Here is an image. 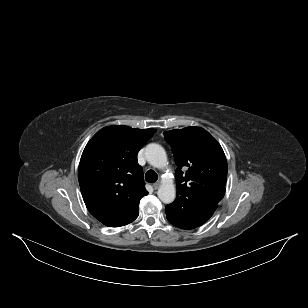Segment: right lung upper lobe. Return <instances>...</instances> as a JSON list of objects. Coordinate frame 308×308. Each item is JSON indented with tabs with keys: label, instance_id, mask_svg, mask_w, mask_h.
<instances>
[{
	"label": "right lung upper lobe",
	"instance_id": "obj_1",
	"mask_svg": "<svg viewBox=\"0 0 308 308\" xmlns=\"http://www.w3.org/2000/svg\"><path fill=\"white\" fill-rule=\"evenodd\" d=\"M155 132L109 126L87 143L79 163L80 189L87 209L104 225L119 227L137 218L140 199L148 194L137 154Z\"/></svg>",
	"mask_w": 308,
	"mask_h": 308
}]
</instances>
